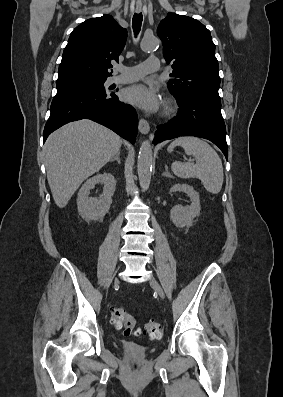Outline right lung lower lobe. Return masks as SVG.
<instances>
[{
    "mask_svg": "<svg viewBox=\"0 0 283 397\" xmlns=\"http://www.w3.org/2000/svg\"><path fill=\"white\" fill-rule=\"evenodd\" d=\"M50 111L43 132L44 142L49 134L64 124L85 118L100 123L132 144L135 143L137 114L130 105L120 102L114 93L87 88L57 92Z\"/></svg>",
    "mask_w": 283,
    "mask_h": 397,
    "instance_id": "right-lung-lower-lobe-1",
    "label": "right lung lower lobe"
}]
</instances>
